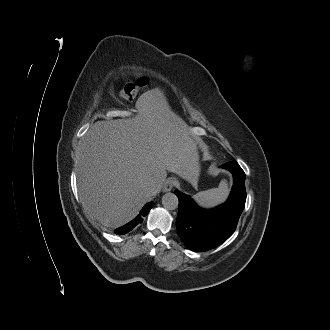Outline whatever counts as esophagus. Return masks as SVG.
Wrapping results in <instances>:
<instances>
[{
	"label": "esophagus",
	"instance_id": "obj_1",
	"mask_svg": "<svg viewBox=\"0 0 330 330\" xmlns=\"http://www.w3.org/2000/svg\"><path fill=\"white\" fill-rule=\"evenodd\" d=\"M176 181L169 179L164 183V191H169L175 185Z\"/></svg>",
	"mask_w": 330,
	"mask_h": 330
}]
</instances>
